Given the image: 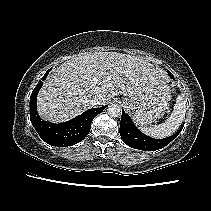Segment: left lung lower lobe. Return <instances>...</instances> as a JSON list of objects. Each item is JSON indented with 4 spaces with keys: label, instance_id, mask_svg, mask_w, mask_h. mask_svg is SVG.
<instances>
[{
    "label": "left lung lower lobe",
    "instance_id": "obj_1",
    "mask_svg": "<svg viewBox=\"0 0 211 211\" xmlns=\"http://www.w3.org/2000/svg\"><path fill=\"white\" fill-rule=\"evenodd\" d=\"M170 77L174 78L172 74H170ZM183 126L184 124L171 137L165 139H153L139 131L133 124L131 118L124 112V110H122L120 136L128 146L134 149H139L143 151H154L165 147L173 139H175L183 129Z\"/></svg>",
    "mask_w": 211,
    "mask_h": 211
}]
</instances>
